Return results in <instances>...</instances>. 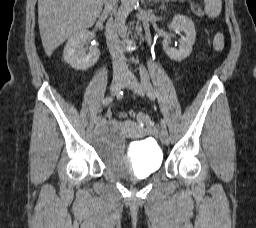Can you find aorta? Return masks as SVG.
<instances>
[{"instance_id": "1", "label": "aorta", "mask_w": 256, "mask_h": 228, "mask_svg": "<svg viewBox=\"0 0 256 228\" xmlns=\"http://www.w3.org/2000/svg\"><path fill=\"white\" fill-rule=\"evenodd\" d=\"M138 2L139 0H121V6L118 10L115 21L117 24L118 33L123 39H126L127 35V28L125 26L126 18L138 5Z\"/></svg>"}]
</instances>
